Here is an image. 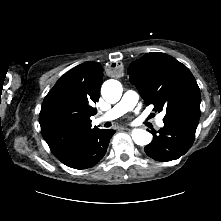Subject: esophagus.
I'll return each instance as SVG.
<instances>
[{
    "label": "esophagus",
    "instance_id": "34e87169",
    "mask_svg": "<svg viewBox=\"0 0 221 221\" xmlns=\"http://www.w3.org/2000/svg\"><path fill=\"white\" fill-rule=\"evenodd\" d=\"M122 130H130L129 128H122Z\"/></svg>",
    "mask_w": 221,
    "mask_h": 221
}]
</instances>
